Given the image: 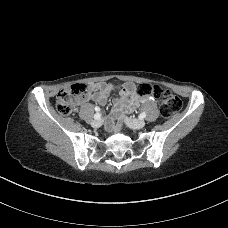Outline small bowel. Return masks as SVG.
<instances>
[{
  "label": "small bowel",
  "mask_w": 228,
  "mask_h": 228,
  "mask_svg": "<svg viewBox=\"0 0 228 228\" xmlns=\"http://www.w3.org/2000/svg\"><path fill=\"white\" fill-rule=\"evenodd\" d=\"M113 90H119L120 97L116 98L113 102L110 119L107 123V128L111 129V121L113 119H120L125 112H131L138 104L145 103L154 99L153 95L139 97L134 92V84L125 83L123 85H116L106 82H95L89 85V91L80 99V103H87L94 101L101 106L107 102L109 93Z\"/></svg>",
  "instance_id": "small-bowel-1"
}]
</instances>
